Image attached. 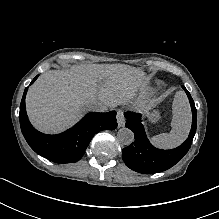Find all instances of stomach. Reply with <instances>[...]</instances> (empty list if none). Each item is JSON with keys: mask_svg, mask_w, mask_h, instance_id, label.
Listing matches in <instances>:
<instances>
[{"mask_svg": "<svg viewBox=\"0 0 219 219\" xmlns=\"http://www.w3.org/2000/svg\"><path fill=\"white\" fill-rule=\"evenodd\" d=\"M146 117L152 123H156L159 120L160 115H159V112L157 110H153V111L147 112Z\"/></svg>", "mask_w": 219, "mask_h": 219, "instance_id": "0dacf381", "label": "stomach"}]
</instances>
